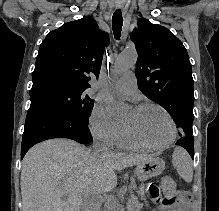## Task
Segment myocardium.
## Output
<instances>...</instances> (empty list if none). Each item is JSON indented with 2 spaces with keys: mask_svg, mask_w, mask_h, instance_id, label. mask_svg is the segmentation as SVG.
Instances as JSON below:
<instances>
[{
  "mask_svg": "<svg viewBox=\"0 0 219 211\" xmlns=\"http://www.w3.org/2000/svg\"><path fill=\"white\" fill-rule=\"evenodd\" d=\"M147 106L156 107V108L160 109L167 116V118L170 122V125H171V136H170L169 140L163 144H160V145L148 144V143L142 141L139 137H137L131 131V129L126 124L123 123L124 132H125L126 136L128 137V139L140 148L147 149V150L166 149L174 143V141L177 137V126H176V123L174 121V118L171 115V113L163 105L156 103V102H152V101H145V102L138 103L133 108L140 109V108L147 107Z\"/></svg>",
  "mask_w": 219,
  "mask_h": 211,
  "instance_id": "myocardium-1",
  "label": "myocardium"
}]
</instances>
